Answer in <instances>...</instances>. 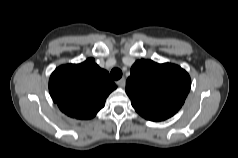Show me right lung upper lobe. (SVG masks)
Here are the masks:
<instances>
[{"mask_svg":"<svg viewBox=\"0 0 238 158\" xmlns=\"http://www.w3.org/2000/svg\"><path fill=\"white\" fill-rule=\"evenodd\" d=\"M116 85L106 70L93 58L81 64H67L55 69L49 79L53 101L66 115L91 119L104 105Z\"/></svg>","mask_w":238,"mask_h":158,"instance_id":"right-lung-upper-lobe-1","label":"right lung upper lobe"}]
</instances>
